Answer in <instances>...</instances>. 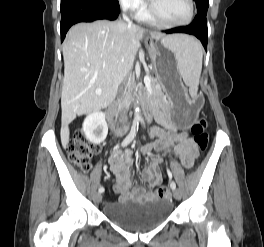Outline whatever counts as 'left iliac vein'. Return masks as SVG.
Returning <instances> with one entry per match:
<instances>
[{
	"label": "left iliac vein",
	"mask_w": 264,
	"mask_h": 247,
	"mask_svg": "<svg viewBox=\"0 0 264 247\" xmlns=\"http://www.w3.org/2000/svg\"><path fill=\"white\" fill-rule=\"evenodd\" d=\"M173 196L175 199L179 200V199H181V192L178 189H176V190L174 189Z\"/></svg>",
	"instance_id": "4c4485c4"
}]
</instances>
